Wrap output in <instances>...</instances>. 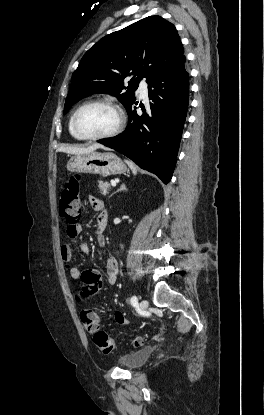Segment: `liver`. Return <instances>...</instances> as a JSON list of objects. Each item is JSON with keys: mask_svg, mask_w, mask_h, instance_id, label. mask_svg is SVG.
<instances>
[{"mask_svg": "<svg viewBox=\"0 0 264 415\" xmlns=\"http://www.w3.org/2000/svg\"><path fill=\"white\" fill-rule=\"evenodd\" d=\"M97 149H105L106 150V148L104 146L99 145V144H94V145H91V146H88V147L63 146V147H60L57 151L77 155V154L91 153V152H93Z\"/></svg>", "mask_w": 264, "mask_h": 415, "instance_id": "6515ba94", "label": "liver"}]
</instances>
